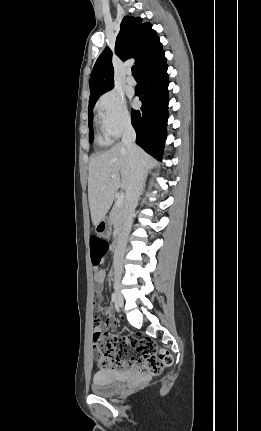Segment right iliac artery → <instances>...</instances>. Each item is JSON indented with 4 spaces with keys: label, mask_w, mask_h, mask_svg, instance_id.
Wrapping results in <instances>:
<instances>
[{
    "label": "right iliac artery",
    "mask_w": 261,
    "mask_h": 431,
    "mask_svg": "<svg viewBox=\"0 0 261 431\" xmlns=\"http://www.w3.org/2000/svg\"><path fill=\"white\" fill-rule=\"evenodd\" d=\"M112 302H116V296H115V293H112Z\"/></svg>",
    "instance_id": "82829eb1"
}]
</instances>
